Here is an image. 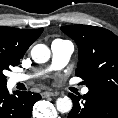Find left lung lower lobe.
Masks as SVG:
<instances>
[{
  "label": "left lung lower lobe",
  "mask_w": 118,
  "mask_h": 118,
  "mask_svg": "<svg viewBox=\"0 0 118 118\" xmlns=\"http://www.w3.org/2000/svg\"><path fill=\"white\" fill-rule=\"evenodd\" d=\"M73 108L67 118H118V95L88 91L82 97L69 93Z\"/></svg>",
  "instance_id": "0a47b994"
}]
</instances>
